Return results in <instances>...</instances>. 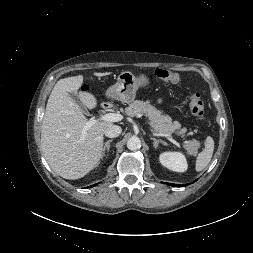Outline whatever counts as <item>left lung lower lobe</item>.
I'll use <instances>...</instances> for the list:
<instances>
[{"mask_svg":"<svg viewBox=\"0 0 253 253\" xmlns=\"http://www.w3.org/2000/svg\"><path fill=\"white\" fill-rule=\"evenodd\" d=\"M168 185L174 186V187H184V186H186V185H178V184H170V183H168Z\"/></svg>","mask_w":253,"mask_h":253,"instance_id":"0a47b994","label":"left lung lower lobe"}]
</instances>
